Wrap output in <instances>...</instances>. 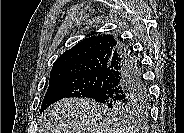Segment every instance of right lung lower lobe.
Wrapping results in <instances>:
<instances>
[{"label": "right lung lower lobe", "instance_id": "98d812e1", "mask_svg": "<svg viewBox=\"0 0 184 133\" xmlns=\"http://www.w3.org/2000/svg\"><path fill=\"white\" fill-rule=\"evenodd\" d=\"M102 78L101 89L93 98L101 104L130 105L148 95L139 61L133 50L120 41Z\"/></svg>", "mask_w": 184, "mask_h": 133}]
</instances>
